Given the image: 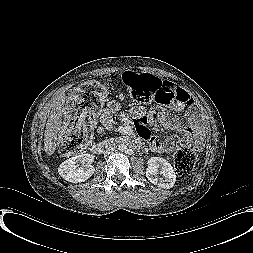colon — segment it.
I'll list each match as a JSON object with an SVG mask.
<instances>
[{"instance_id":"obj_1","label":"colon","mask_w":253,"mask_h":253,"mask_svg":"<svg viewBox=\"0 0 253 253\" xmlns=\"http://www.w3.org/2000/svg\"><path fill=\"white\" fill-rule=\"evenodd\" d=\"M122 81L130 96L139 103H156L167 106L180 99L173 84L154 75L126 71ZM107 95L105 84L89 81L72 93L65 113V124L59 139V150L64 155L82 151L91 138V128ZM179 176L187 177L197 161V153L189 144H179L173 155Z\"/></svg>"}]
</instances>
